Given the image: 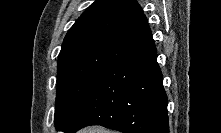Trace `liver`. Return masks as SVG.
<instances>
[{"label": "liver", "instance_id": "liver-1", "mask_svg": "<svg viewBox=\"0 0 221 133\" xmlns=\"http://www.w3.org/2000/svg\"><path fill=\"white\" fill-rule=\"evenodd\" d=\"M79 133H111L109 130L103 129L101 127L96 128H86L80 130Z\"/></svg>", "mask_w": 221, "mask_h": 133}]
</instances>
